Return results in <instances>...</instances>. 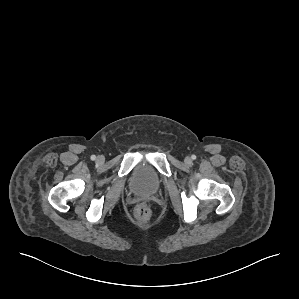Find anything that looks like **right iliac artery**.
<instances>
[{"label":"right iliac artery","instance_id":"82829eb1","mask_svg":"<svg viewBox=\"0 0 299 299\" xmlns=\"http://www.w3.org/2000/svg\"><path fill=\"white\" fill-rule=\"evenodd\" d=\"M96 159V156L95 155H92L91 156V160H95Z\"/></svg>","mask_w":299,"mask_h":299}]
</instances>
